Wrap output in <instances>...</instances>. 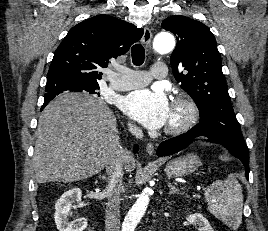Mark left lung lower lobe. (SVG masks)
Instances as JSON below:
<instances>
[{
    "label": "left lung lower lobe",
    "mask_w": 268,
    "mask_h": 231,
    "mask_svg": "<svg viewBox=\"0 0 268 231\" xmlns=\"http://www.w3.org/2000/svg\"><path fill=\"white\" fill-rule=\"evenodd\" d=\"M200 135L201 134L189 130L187 133H184L172 139L166 140L159 145L157 149V155L161 157V156H167V155H172L174 153H177L178 151L188 147L190 141ZM209 138L211 142L222 144L224 147H226L229 150V152L233 156L238 158L244 164V167L246 170V178H248L249 177V152L248 150L242 149L238 145L233 144L231 142L220 141L212 137H209Z\"/></svg>",
    "instance_id": "left-lung-lower-lobe-1"
}]
</instances>
